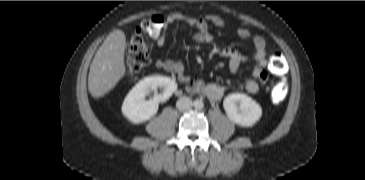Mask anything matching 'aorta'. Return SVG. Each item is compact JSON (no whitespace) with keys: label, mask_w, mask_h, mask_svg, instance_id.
<instances>
[{"label":"aorta","mask_w":365,"mask_h":180,"mask_svg":"<svg viewBox=\"0 0 365 180\" xmlns=\"http://www.w3.org/2000/svg\"><path fill=\"white\" fill-rule=\"evenodd\" d=\"M193 106L196 108V109H202L204 104H203V101L202 100H195L193 102Z\"/></svg>","instance_id":"762f6f07"}]
</instances>
